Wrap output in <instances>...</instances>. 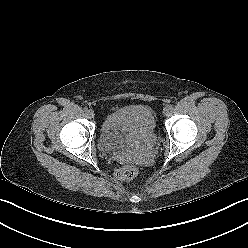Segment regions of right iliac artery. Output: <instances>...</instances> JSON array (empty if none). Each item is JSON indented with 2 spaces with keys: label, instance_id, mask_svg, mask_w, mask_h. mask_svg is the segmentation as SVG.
Wrapping results in <instances>:
<instances>
[{
  "label": "right iliac artery",
  "instance_id": "1",
  "mask_svg": "<svg viewBox=\"0 0 248 248\" xmlns=\"http://www.w3.org/2000/svg\"><path fill=\"white\" fill-rule=\"evenodd\" d=\"M84 112H88V108L87 107L84 108Z\"/></svg>",
  "mask_w": 248,
  "mask_h": 248
}]
</instances>
